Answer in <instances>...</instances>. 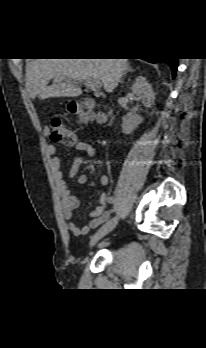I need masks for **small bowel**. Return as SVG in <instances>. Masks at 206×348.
Wrapping results in <instances>:
<instances>
[{
    "mask_svg": "<svg viewBox=\"0 0 206 348\" xmlns=\"http://www.w3.org/2000/svg\"><path fill=\"white\" fill-rule=\"evenodd\" d=\"M47 133V131H45ZM73 149L76 152H83L87 155H93L95 153L94 147L84 141H77L72 144ZM46 153L49 157V164L53 174V179L58 190L64 217L69 220L67 223V229L74 236H84L88 234L91 229L97 228L103 222H105L110 217V212L106 210V206L111 201V199L102 193L99 198V205L90 213L91 219L87 225L78 227L73 221H71L75 210L79 207L80 201L68 188L65 175L61 169V161L56 155V147L51 144L46 145ZM83 161L81 155H76L73 164L68 170V176L78 178L80 184H85L87 182V177L84 174H79L80 165ZM101 183L103 185L108 184V178L106 176L101 177Z\"/></svg>",
    "mask_w": 206,
    "mask_h": 348,
    "instance_id": "c3829d8e",
    "label": "small bowel"
}]
</instances>
